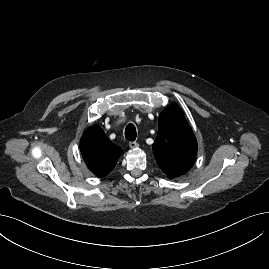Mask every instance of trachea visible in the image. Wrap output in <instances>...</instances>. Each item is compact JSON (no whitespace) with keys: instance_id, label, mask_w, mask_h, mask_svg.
I'll list each match as a JSON object with an SVG mask.
<instances>
[{"instance_id":"trachea-1","label":"trachea","mask_w":269,"mask_h":269,"mask_svg":"<svg viewBox=\"0 0 269 269\" xmlns=\"http://www.w3.org/2000/svg\"><path fill=\"white\" fill-rule=\"evenodd\" d=\"M125 138L129 141L136 139V128L133 124H128L125 129Z\"/></svg>"}]
</instances>
